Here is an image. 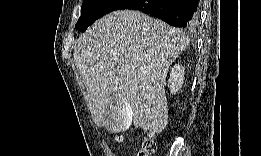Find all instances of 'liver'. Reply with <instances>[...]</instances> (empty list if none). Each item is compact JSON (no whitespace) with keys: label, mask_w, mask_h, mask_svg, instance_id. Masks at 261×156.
<instances>
[{"label":"liver","mask_w":261,"mask_h":156,"mask_svg":"<svg viewBox=\"0 0 261 156\" xmlns=\"http://www.w3.org/2000/svg\"><path fill=\"white\" fill-rule=\"evenodd\" d=\"M188 45L181 30L139 11L118 10L96 21L74 49L94 123L105 126V112L115 103L121 117L112 131L133 123L161 133L168 123L167 73Z\"/></svg>","instance_id":"1"}]
</instances>
